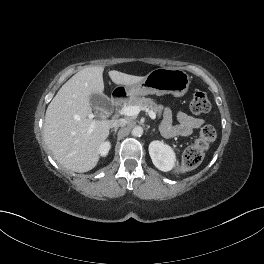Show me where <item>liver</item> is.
Wrapping results in <instances>:
<instances>
[{
  "mask_svg": "<svg viewBox=\"0 0 264 264\" xmlns=\"http://www.w3.org/2000/svg\"><path fill=\"white\" fill-rule=\"evenodd\" d=\"M103 71L102 66H95L77 72L59 89L46 110L44 140L56 160L75 172H87L97 165L99 147L107 139L114 121L89 118L91 96L104 95ZM108 74L115 84L122 86L145 78L116 70Z\"/></svg>",
  "mask_w": 264,
  "mask_h": 264,
  "instance_id": "1",
  "label": "liver"
}]
</instances>
